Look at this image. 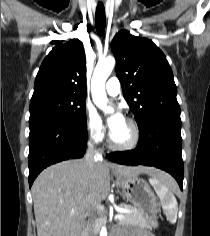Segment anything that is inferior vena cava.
<instances>
[{"mask_svg":"<svg viewBox=\"0 0 210 236\" xmlns=\"http://www.w3.org/2000/svg\"><path fill=\"white\" fill-rule=\"evenodd\" d=\"M99 157H100V154L97 151V149L94 147V144L89 143L88 150H87L86 155H85V162H86L87 166L89 168H93L94 164L96 163V161L98 160ZM91 220L93 221V217L91 218ZM89 235L90 236H95L93 225L89 230Z\"/></svg>","mask_w":210,"mask_h":236,"instance_id":"1","label":"inferior vena cava"}]
</instances>
